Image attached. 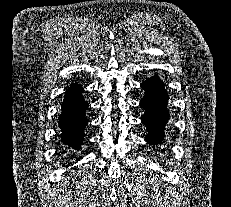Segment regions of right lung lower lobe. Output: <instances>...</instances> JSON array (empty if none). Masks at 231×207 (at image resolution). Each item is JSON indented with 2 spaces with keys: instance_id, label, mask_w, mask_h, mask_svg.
I'll use <instances>...</instances> for the list:
<instances>
[{
  "instance_id": "1",
  "label": "right lung lower lobe",
  "mask_w": 231,
  "mask_h": 207,
  "mask_svg": "<svg viewBox=\"0 0 231 207\" xmlns=\"http://www.w3.org/2000/svg\"><path fill=\"white\" fill-rule=\"evenodd\" d=\"M82 86L74 83L66 90L61 114L59 116V127L63 143L75 150L80 149L84 140V128L87 125L85 111L88 103L81 96Z\"/></svg>"
}]
</instances>
